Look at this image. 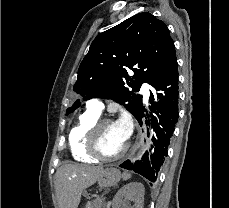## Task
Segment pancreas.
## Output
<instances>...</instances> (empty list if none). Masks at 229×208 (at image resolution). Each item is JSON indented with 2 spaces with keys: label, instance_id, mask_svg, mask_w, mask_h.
Segmentation results:
<instances>
[{
  "label": "pancreas",
  "instance_id": "obj_1",
  "mask_svg": "<svg viewBox=\"0 0 229 208\" xmlns=\"http://www.w3.org/2000/svg\"><path fill=\"white\" fill-rule=\"evenodd\" d=\"M86 208H105L104 198H96L92 202H87Z\"/></svg>",
  "mask_w": 229,
  "mask_h": 208
}]
</instances>
